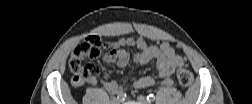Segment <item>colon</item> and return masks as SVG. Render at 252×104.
<instances>
[{"label": "colon", "instance_id": "5ec220e1", "mask_svg": "<svg viewBox=\"0 0 252 104\" xmlns=\"http://www.w3.org/2000/svg\"><path fill=\"white\" fill-rule=\"evenodd\" d=\"M115 43L101 36H90L80 41L72 50L68 59V67L73 74L72 83L80 85L93 75L94 68L85 65L86 58L99 59L102 56L111 55L114 52ZM177 79L182 86L189 87L194 81L193 74L186 67H180L177 71Z\"/></svg>", "mask_w": 252, "mask_h": 104}]
</instances>
